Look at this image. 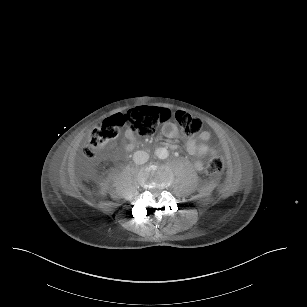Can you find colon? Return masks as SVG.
Here are the masks:
<instances>
[{"label": "colon", "mask_w": 307, "mask_h": 307, "mask_svg": "<svg viewBox=\"0 0 307 307\" xmlns=\"http://www.w3.org/2000/svg\"><path fill=\"white\" fill-rule=\"evenodd\" d=\"M175 121L188 135L199 134L202 130V122L188 112L179 110L175 113ZM172 112L166 108L140 106L127 112L123 117H110L100 122L89 135L82 148L83 155L91 159L100 152L107 141L118 136L123 126L137 132L141 136L152 134L155 126L169 120ZM212 156L207 165V172L218 175L223 171L224 162L219 154L217 144H212Z\"/></svg>", "instance_id": "colon-1"}]
</instances>
